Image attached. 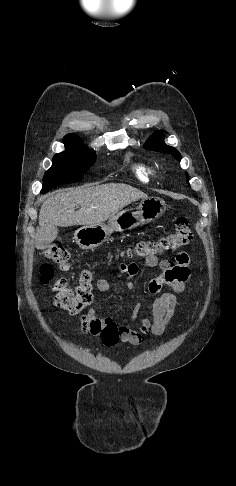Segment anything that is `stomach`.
I'll list each match as a JSON object with an SVG mask.
<instances>
[{
	"label": "stomach",
	"mask_w": 236,
	"mask_h": 486,
	"mask_svg": "<svg viewBox=\"0 0 236 486\" xmlns=\"http://www.w3.org/2000/svg\"><path fill=\"white\" fill-rule=\"evenodd\" d=\"M166 210L158 197L142 199L136 211L125 209L109 218L108 224L84 225L74 233V240L82 249H93L109 239L113 231H125L159 219Z\"/></svg>",
	"instance_id": "stomach-1"
}]
</instances>
